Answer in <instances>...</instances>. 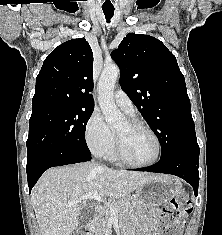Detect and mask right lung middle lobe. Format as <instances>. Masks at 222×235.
Returning a JSON list of instances; mask_svg holds the SVG:
<instances>
[{"instance_id": "right-lung-middle-lobe-1", "label": "right lung middle lobe", "mask_w": 222, "mask_h": 235, "mask_svg": "<svg viewBox=\"0 0 222 235\" xmlns=\"http://www.w3.org/2000/svg\"><path fill=\"white\" fill-rule=\"evenodd\" d=\"M93 109L69 105H53L29 120L27 164L55 151L90 153L85 141L86 124Z\"/></svg>"}]
</instances>
